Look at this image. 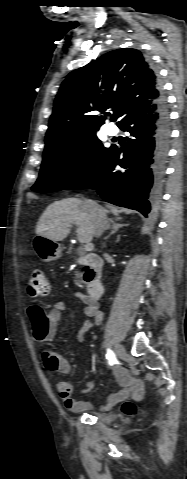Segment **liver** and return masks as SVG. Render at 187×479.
<instances>
[{"mask_svg": "<svg viewBox=\"0 0 187 479\" xmlns=\"http://www.w3.org/2000/svg\"><path fill=\"white\" fill-rule=\"evenodd\" d=\"M105 207V212L118 217L119 210L116 207L109 204ZM71 225L77 227V238L81 243L92 241L95 235L94 223L86 200L66 198L50 204L38 220L36 234L56 242L62 241L70 233Z\"/></svg>", "mask_w": 187, "mask_h": 479, "instance_id": "6515ba94", "label": "liver"}]
</instances>
